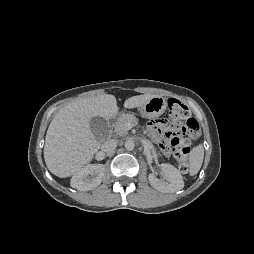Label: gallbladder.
Listing matches in <instances>:
<instances>
[{"mask_svg": "<svg viewBox=\"0 0 254 254\" xmlns=\"http://www.w3.org/2000/svg\"><path fill=\"white\" fill-rule=\"evenodd\" d=\"M90 128L96 140H103L108 133V123L101 116H95L90 119Z\"/></svg>", "mask_w": 254, "mask_h": 254, "instance_id": "obj_1", "label": "gallbladder"}]
</instances>
